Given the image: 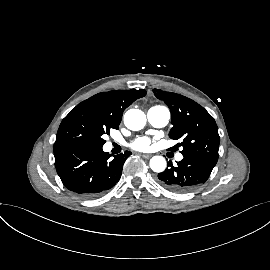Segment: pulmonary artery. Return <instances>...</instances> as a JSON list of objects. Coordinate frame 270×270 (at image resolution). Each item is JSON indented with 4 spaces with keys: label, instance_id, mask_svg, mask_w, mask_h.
I'll list each match as a JSON object with an SVG mask.
<instances>
[{
    "label": "pulmonary artery",
    "instance_id": "obj_1",
    "mask_svg": "<svg viewBox=\"0 0 270 270\" xmlns=\"http://www.w3.org/2000/svg\"><path fill=\"white\" fill-rule=\"evenodd\" d=\"M147 118L149 123L156 127L161 128L167 125L170 119V113L167 108L162 106L151 107L147 112ZM183 158L182 154H177L176 159L180 161Z\"/></svg>",
    "mask_w": 270,
    "mask_h": 270
}]
</instances>
